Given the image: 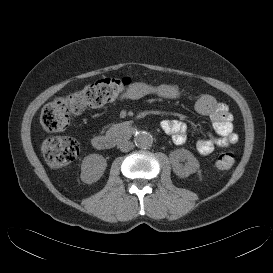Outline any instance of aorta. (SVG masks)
<instances>
[{"label":"aorta","mask_w":273,"mask_h":273,"mask_svg":"<svg viewBox=\"0 0 273 273\" xmlns=\"http://www.w3.org/2000/svg\"><path fill=\"white\" fill-rule=\"evenodd\" d=\"M134 142L139 148H148L153 144V137L149 132L138 130L134 135Z\"/></svg>","instance_id":"aorta-1"}]
</instances>
